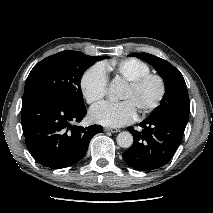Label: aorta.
<instances>
[{"instance_id":"aorta-1","label":"aorta","mask_w":213,"mask_h":213,"mask_svg":"<svg viewBox=\"0 0 213 213\" xmlns=\"http://www.w3.org/2000/svg\"><path fill=\"white\" fill-rule=\"evenodd\" d=\"M122 89V83L115 79L109 85L108 93L110 99H116L119 97ZM117 144L122 148H129L133 144V136L128 131H123L117 135Z\"/></svg>"}]
</instances>
